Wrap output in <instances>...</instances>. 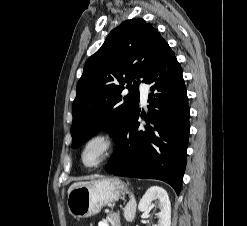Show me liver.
Returning <instances> with one entry per match:
<instances>
[{"instance_id":"liver-1","label":"liver","mask_w":247,"mask_h":226,"mask_svg":"<svg viewBox=\"0 0 247 226\" xmlns=\"http://www.w3.org/2000/svg\"><path fill=\"white\" fill-rule=\"evenodd\" d=\"M79 183H74L73 185H71L70 186V188L68 189V193L71 191V189L74 187V186H76V185H78Z\"/></svg>"}]
</instances>
